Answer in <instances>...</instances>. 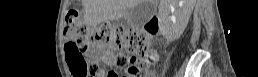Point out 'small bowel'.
Returning a JSON list of instances; mask_svg holds the SVG:
<instances>
[{"mask_svg": "<svg viewBox=\"0 0 258 77\" xmlns=\"http://www.w3.org/2000/svg\"><path fill=\"white\" fill-rule=\"evenodd\" d=\"M152 55L154 58L157 57V54L155 52H152ZM96 56V52H90V60H93ZM122 55L119 53L110 52L105 56V61L108 65H116L119 61H121ZM103 74V71L100 72ZM108 77H116L115 73L110 72L108 73Z\"/></svg>", "mask_w": 258, "mask_h": 77, "instance_id": "c3829d8e", "label": "small bowel"}]
</instances>
